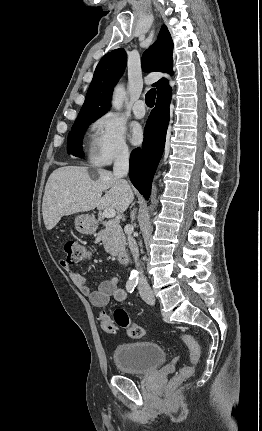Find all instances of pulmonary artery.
Instances as JSON below:
<instances>
[{
    "mask_svg": "<svg viewBox=\"0 0 262 431\" xmlns=\"http://www.w3.org/2000/svg\"><path fill=\"white\" fill-rule=\"evenodd\" d=\"M132 111H133V114L135 117H137V118L144 117L146 114V110L144 107V101L141 99L137 100L133 105Z\"/></svg>",
    "mask_w": 262,
    "mask_h": 431,
    "instance_id": "pulmonary-artery-1",
    "label": "pulmonary artery"
}]
</instances>
